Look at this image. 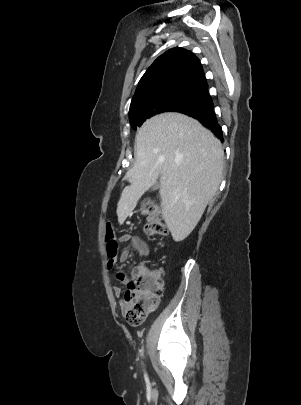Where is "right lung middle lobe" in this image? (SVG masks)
<instances>
[{
	"instance_id": "obj_1",
	"label": "right lung middle lobe",
	"mask_w": 301,
	"mask_h": 405,
	"mask_svg": "<svg viewBox=\"0 0 301 405\" xmlns=\"http://www.w3.org/2000/svg\"><path fill=\"white\" fill-rule=\"evenodd\" d=\"M212 104L208 93L190 88H174L141 98L130 108L129 120L133 129L150 117L163 113L198 108Z\"/></svg>"
}]
</instances>
